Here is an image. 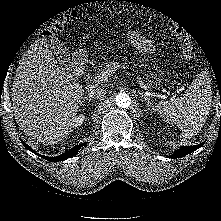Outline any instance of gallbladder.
Here are the masks:
<instances>
[{"label": "gallbladder", "instance_id": "bac80fb5", "mask_svg": "<svg viewBox=\"0 0 221 221\" xmlns=\"http://www.w3.org/2000/svg\"><path fill=\"white\" fill-rule=\"evenodd\" d=\"M49 46L64 68L68 71L72 69L70 51L68 48L56 38L51 39Z\"/></svg>", "mask_w": 221, "mask_h": 221}]
</instances>
